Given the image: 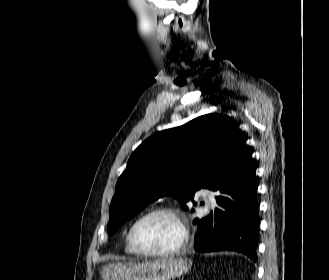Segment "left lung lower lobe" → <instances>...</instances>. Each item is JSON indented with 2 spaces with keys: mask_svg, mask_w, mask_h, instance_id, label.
<instances>
[{
  "mask_svg": "<svg viewBox=\"0 0 329 280\" xmlns=\"http://www.w3.org/2000/svg\"><path fill=\"white\" fill-rule=\"evenodd\" d=\"M251 155V149L245 144L240 152V170L217 192L219 208L198 221L196 251H237L257 260L259 205L256 166Z\"/></svg>",
  "mask_w": 329,
  "mask_h": 280,
  "instance_id": "0a47b994",
  "label": "left lung lower lobe"
}]
</instances>
